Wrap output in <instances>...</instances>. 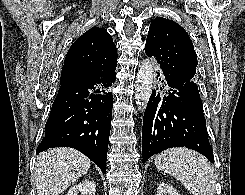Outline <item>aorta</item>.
I'll list each match as a JSON object with an SVG mask.
<instances>
[{"mask_svg":"<svg viewBox=\"0 0 245 195\" xmlns=\"http://www.w3.org/2000/svg\"><path fill=\"white\" fill-rule=\"evenodd\" d=\"M154 78V68L149 60H144L139 65L135 82V99L138 110L144 111L151 93Z\"/></svg>","mask_w":245,"mask_h":195,"instance_id":"obj_1","label":"aorta"}]
</instances>
